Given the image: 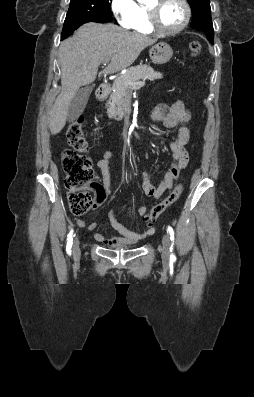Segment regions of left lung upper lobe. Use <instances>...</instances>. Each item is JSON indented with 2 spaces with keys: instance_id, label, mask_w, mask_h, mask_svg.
I'll return each instance as SVG.
<instances>
[{
  "instance_id": "5c2ea615",
  "label": "left lung upper lobe",
  "mask_w": 254,
  "mask_h": 397,
  "mask_svg": "<svg viewBox=\"0 0 254 397\" xmlns=\"http://www.w3.org/2000/svg\"><path fill=\"white\" fill-rule=\"evenodd\" d=\"M192 9L191 27L213 37L214 30L211 20L210 0H187Z\"/></svg>"
}]
</instances>
